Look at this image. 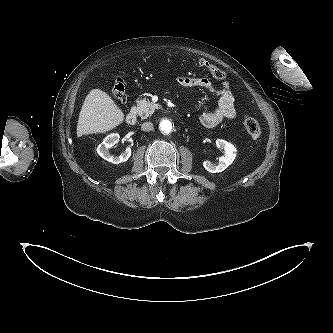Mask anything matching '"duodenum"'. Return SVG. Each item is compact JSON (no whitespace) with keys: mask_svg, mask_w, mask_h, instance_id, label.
<instances>
[{"mask_svg":"<svg viewBox=\"0 0 333 333\" xmlns=\"http://www.w3.org/2000/svg\"><path fill=\"white\" fill-rule=\"evenodd\" d=\"M126 122L129 125H135L137 122V112L135 109H131L126 116Z\"/></svg>","mask_w":333,"mask_h":333,"instance_id":"1","label":"duodenum"}]
</instances>
